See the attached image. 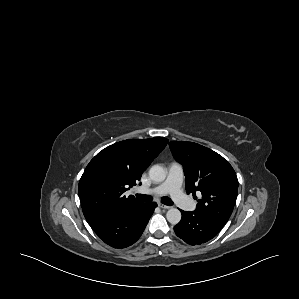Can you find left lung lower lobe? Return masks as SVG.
Masks as SVG:
<instances>
[{"instance_id": "obj_1", "label": "left lung lower lobe", "mask_w": 299, "mask_h": 299, "mask_svg": "<svg viewBox=\"0 0 299 299\" xmlns=\"http://www.w3.org/2000/svg\"><path fill=\"white\" fill-rule=\"evenodd\" d=\"M182 219L174 227L176 235L190 245H200L214 238L222 229L210 218L196 211H181Z\"/></svg>"}]
</instances>
